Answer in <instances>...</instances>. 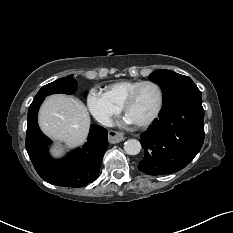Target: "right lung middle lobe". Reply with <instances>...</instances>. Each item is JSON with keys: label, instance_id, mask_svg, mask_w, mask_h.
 I'll list each match as a JSON object with an SVG mask.
<instances>
[{"label": "right lung middle lobe", "instance_id": "dd1d6c3e", "mask_svg": "<svg viewBox=\"0 0 233 233\" xmlns=\"http://www.w3.org/2000/svg\"><path fill=\"white\" fill-rule=\"evenodd\" d=\"M77 89V81L73 78V75H69L65 78H60L43 86L34 99L40 97H46L53 93H65L72 94Z\"/></svg>", "mask_w": 233, "mask_h": 233}]
</instances>
